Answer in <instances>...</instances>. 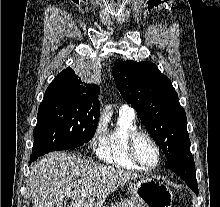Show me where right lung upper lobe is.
<instances>
[{"instance_id": "right-lung-upper-lobe-1", "label": "right lung upper lobe", "mask_w": 220, "mask_h": 207, "mask_svg": "<svg viewBox=\"0 0 220 207\" xmlns=\"http://www.w3.org/2000/svg\"><path fill=\"white\" fill-rule=\"evenodd\" d=\"M100 88L83 79L71 68L64 69L50 83L45 94H61L76 96L86 103L100 109L98 94Z\"/></svg>"}]
</instances>
